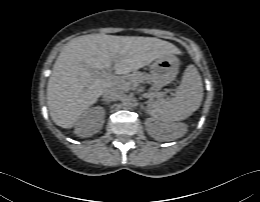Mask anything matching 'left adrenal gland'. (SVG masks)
Returning <instances> with one entry per match:
<instances>
[{"label":"left adrenal gland","instance_id":"a2214340","mask_svg":"<svg viewBox=\"0 0 260 202\" xmlns=\"http://www.w3.org/2000/svg\"><path fill=\"white\" fill-rule=\"evenodd\" d=\"M141 109L144 110L145 112H147V108L145 106H143V104H141Z\"/></svg>","mask_w":260,"mask_h":202}]
</instances>
